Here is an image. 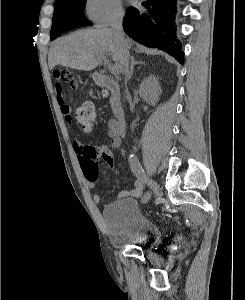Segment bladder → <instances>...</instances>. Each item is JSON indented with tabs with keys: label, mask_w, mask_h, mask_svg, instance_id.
Masks as SVG:
<instances>
[{
	"label": "bladder",
	"mask_w": 245,
	"mask_h": 300,
	"mask_svg": "<svg viewBox=\"0 0 245 300\" xmlns=\"http://www.w3.org/2000/svg\"><path fill=\"white\" fill-rule=\"evenodd\" d=\"M103 219L113 246L153 243L161 237L158 223L140 209L134 198L122 197L107 204Z\"/></svg>",
	"instance_id": "31cf9c89"
}]
</instances>
